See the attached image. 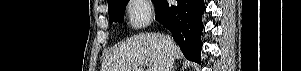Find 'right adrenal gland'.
Masks as SVG:
<instances>
[{
    "mask_svg": "<svg viewBox=\"0 0 301 71\" xmlns=\"http://www.w3.org/2000/svg\"><path fill=\"white\" fill-rule=\"evenodd\" d=\"M172 71H175V68L173 67Z\"/></svg>",
    "mask_w": 301,
    "mask_h": 71,
    "instance_id": "obj_1",
    "label": "right adrenal gland"
}]
</instances>
